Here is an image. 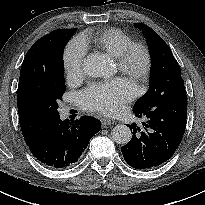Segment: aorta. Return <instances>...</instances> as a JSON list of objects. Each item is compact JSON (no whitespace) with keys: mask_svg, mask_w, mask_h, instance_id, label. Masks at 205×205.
I'll return each instance as SVG.
<instances>
[{"mask_svg":"<svg viewBox=\"0 0 205 205\" xmlns=\"http://www.w3.org/2000/svg\"><path fill=\"white\" fill-rule=\"evenodd\" d=\"M83 71L86 75L95 78L109 76L111 73L107 59L101 54L88 55L83 62ZM111 135L113 141L118 144H127L132 138L129 127L123 124L116 125Z\"/></svg>","mask_w":205,"mask_h":205,"instance_id":"obj_1","label":"aorta"}]
</instances>
